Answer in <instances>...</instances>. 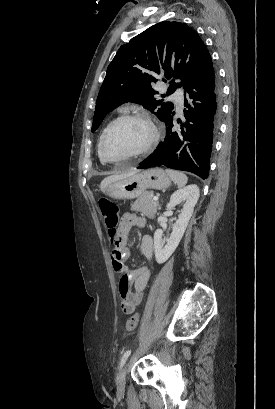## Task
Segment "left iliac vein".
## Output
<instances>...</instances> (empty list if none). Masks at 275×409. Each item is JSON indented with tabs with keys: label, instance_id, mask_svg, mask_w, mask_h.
I'll use <instances>...</instances> for the list:
<instances>
[{
	"label": "left iliac vein",
	"instance_id": "left-iliac-vein-1",
	"mask_svg": "<svg viewBox=\"0 0 275 409\" xmlns=\"http://www.w3.org/2000/svg\"><path fill=\"white\" fill-rule=\"evenodd\" d=\"M125 377H126V367L123 368V369L119 372L118 377H117V389H118V391H120V392H123V391H124V388H125Z\"/></svg>",
	"mask_w": 275,
	"mask_h": 409
}]
</instances>
